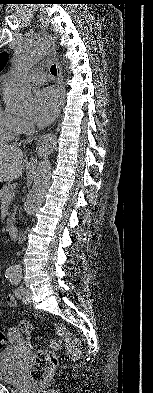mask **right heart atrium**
<instances>
[{
    "label": "right heart atrium",
    "instance_id": "right-heart-atrium-1",
    "mask_svg": "<svg viewBox=\"0 0 153 393\" xmlns=\"http://www.w3.org/2000/svg\"><path fill=\"white\" fill-rule=\"evenodd\" d=\"M34 130L32 123L26 119H20V133L30 134Z\"/></svg>",
    "mask_w": 153,
    "mask_h": 393
}]
</instances>
